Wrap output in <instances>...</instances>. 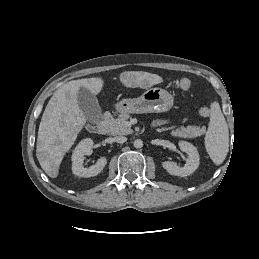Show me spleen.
<instances>
[{"instance_id":"obj_1","label":"spleen","mask_w":259,"mask_h":259,"mask_svg":"<svg viewBox=\"0 0 259 259\" xmlns=\"http://www.w3.org/2000/svg\"><path fill=\"white\" fill-rule=\"evenodd\" d=\"M205 148L216 165H220L225 160L229 150L228 126L218 102L211 104Z\"/></svg>"}]
</instances>
